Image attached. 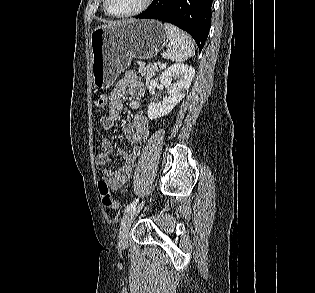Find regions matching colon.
Returning a JSON list of instances; mask_svg holds the SVG:
<instances>
[{
	"instance_id": "obj_1",
	"label": "colon",
	"mask_w": 315,
	"mask_h": 293,
	"mask_svg": "<svg viewBox=\"0 0 315 293\" xmlns=\"http://www.w3.org/2000/svg\"><path fill=\"white\" fill-rule=\"evenodd\" d=\"M108 103V97L105 94H100L96 100L95 105L98 108H103ZM98 189L101 197L102 204L105 207L111 209H117L119 207V202L111 194L108 184L104 180H100L98 183Z\"/></svg>"
}]
</instances>
